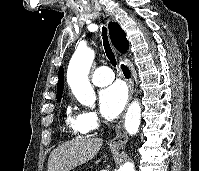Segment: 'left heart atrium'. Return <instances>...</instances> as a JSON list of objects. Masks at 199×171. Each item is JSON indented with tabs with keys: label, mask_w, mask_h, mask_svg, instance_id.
Wrapping results in <instances>:
<instances>
[{
	"label": "left heart atrium",
	"mask_w": 199,
	"mask_h": 171,
	"mask_svg": "<svg viewBox=\"0 0 199 171\" xmlns=\"http://www.w3.org/2000/svg\"><path fill=\"white\" fill-rule=\"evenodd\" d=\"M127 100L126 89L117 82L104 88L99 94L100 110L109 120L116 118L123 110Z\"/></svg>",
	"instance_id": "39dd6f15"
}]
</instances>
